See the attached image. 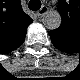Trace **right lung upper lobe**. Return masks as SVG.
Masks as SVG:
<instances>
[{"label":"right lung upper lobe","mask_w":80,"mask_h":80,"mask_svg":"<svg viewBox=\"0 0 80 80\" xmlns=\"http://www.w3.org/2000/svg\"><path fill=\"white\" fill-rule=\"evenodd\" d=\"M8 21L2 24L1 37L0 40L2 43H10L17 39V37L23 35L27 26L32 22V19L19 8L18 12L11 13L8 16Z\"/></svg>","instance_id":"right-lung-upper-lobe-1"}]
</instances>
